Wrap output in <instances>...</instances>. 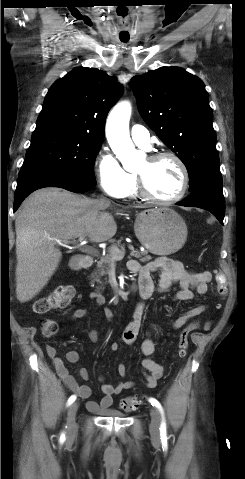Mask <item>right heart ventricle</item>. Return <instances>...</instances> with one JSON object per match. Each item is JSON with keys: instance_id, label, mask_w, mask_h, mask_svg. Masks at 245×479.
Listing matches in <instances>:
<instances>
[{"instance_id": "obj_1", "label": "right heart ventricle", "mask_w": 245, "mask_h": 479, "mask_svg": "<svg viewBox=\"0 0 245 479\" xmlns=\"http://www.w3.org/2000/svg\"><path fill=\"white\" fill-rule=\"evenodd\" d=\"M127 186L122 194V197H137V181H136V174L135 173H127Z\"/></svg>"}]
</instances>
